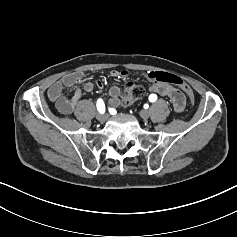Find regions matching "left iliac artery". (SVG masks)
Returning a JSON list of instances; mask_svg holds the SVG:
<instances>
[{
	"instance_id": "left-iliac-artery-1",
	"label": "left iliac artery",
	"mask_w": 237,
	"mask_h": 237,
	"mask_svg": "<svg viewBox=\"0 0 237 237\" xmlns=\"http://www.w3.org/2000/svg\"><path fill=\"white\" fill-rule=\"evenodd\" d=\"M157 100V95L156 94H151L150 96H149V101L150 102H155Z\"/></svg>"
}]
</instances>
